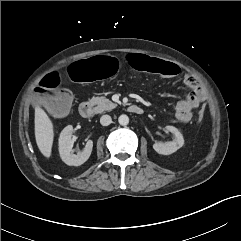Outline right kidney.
I'll return each instance as SVG.
<instances>
[{"mask_svg": "<svg viewBox=\"0 0 241 241\" xmlns=\"http://www.w3.org/2000/svg\"><path fill=\"white\" fill-rule=\"evenodd\" d=\"M73 132L74 130L71 125L62 130L59 137V153L62 161L67 165L80 166L90 157L93 148V141L88 140L83 150L74 154L72 149L74 144Z\"/></svg>", "mask_w": 241, "mask_h": 241, "instance_id": "obj_1", "label": "right kidney"}]
</instances>
